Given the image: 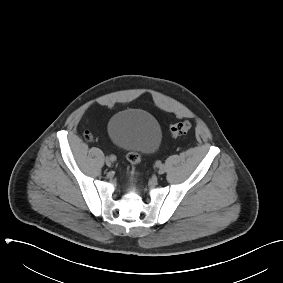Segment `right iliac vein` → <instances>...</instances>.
Returning <instances> with one entry per match:
<instances>
[{"instance_id":"1","label":"right iliac vein","mask_w":283,"mask_h":283,"mask_svg":"<svg viewBox=\"0 0 283 283\" xmlns=\"http://www.w3.org/2000/svg\"><path fill=\"white\" fill-rule=\"evenodd\" d=\"M105 162H106V165H107V166H111V164H112L113 161H112L109 157H107L106 160H105Z\"/></svg>"}]
</instances>
